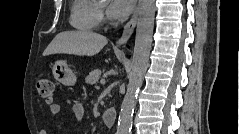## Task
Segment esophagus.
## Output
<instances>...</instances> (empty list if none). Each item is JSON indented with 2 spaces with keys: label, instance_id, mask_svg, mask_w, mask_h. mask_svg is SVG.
Wrapping results in <instances>:
<instances>
[{
  "label": "esophagus",
  "instance_id": "esophagus-1",
  "mask_svg": "<svg viewBox=\"0 0 239 134\" xmlns=\"http://www.w3.org/2000/svg\"><path fill=\"white\" fill-rule=\"evenodd\" d=\"M141 3H142V0H139L132 17L130 18V20L125 25L123 33H122L121 37L119 38V40L116 43L117 46H119V47L122 46L123 44H125L130 39V37H131V35L134 31V28L136 26V23H137V18H138Z\"/></svg>",
  "mask_w": 239,
  "mask_h": 134
}]
</instances>
